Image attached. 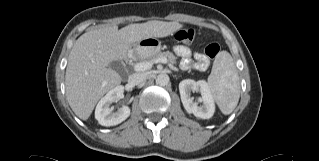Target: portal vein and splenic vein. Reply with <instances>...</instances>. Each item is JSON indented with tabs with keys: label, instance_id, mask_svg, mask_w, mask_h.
I'll use <instances>...</instances> for the list:
<instances>
[{
	"label": "portal vein and splenic vein",
	"instance_id": "18ae733b",
	"mask_svg": "<svg viewBox=\"0 0 319 161\" xmlns=\"http://www.w3.org/2000/svg\"><path fill=\"white\" fill-rule=\"evenodd\" d=\"M167 62H168L167 58H158V59H155L154 62H149V61L140 62V63L135 64L134 70L135 71H146L152 67L153 63L166 64Z\"/></svg>",
	"mask_w": 319,
	"mask_h": 161
}]
</instances>
